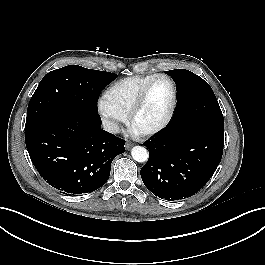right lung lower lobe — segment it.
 I'll list each match as a JSON object with an SVG mask.
<instances>
[{"instance_id": "1", "label": "right lung lower lobe", "mask_w": 265, "mask_h": 265, "mask_svg": "<svg viewBox=\"0 0 265 265\" xmlns=\"http://www.w3.org/2000/svg\"><path fill=\"white\" fill-rule=\"evenodd\" d=\"M30 158L43 179L66 194L90 193L109 178L125 141L101 129V118L69 109L25 130Z\"/></svg>"}]
</instances>
